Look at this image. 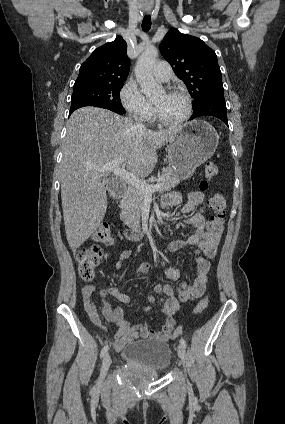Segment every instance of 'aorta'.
<instances>
[{
	"label": "aorta",
	"mask_w": 285,
	"mask_h": 424,
	"mask_svg": "<svg viewBox=\"0 0 285 424\" xmlns=\"http://www.w3.org/2000/svg\"><path fill=\"white\" fill-rule=\"evenodd\" d=\"M158 49L155 47L147 48L139 57L136 67L135 76L141 91L147 96L159 94L162 86L157 84L153 76V66L158 58Z\"/></svg>",
	"instance_id": "762f6f07"
}]
</instances>
